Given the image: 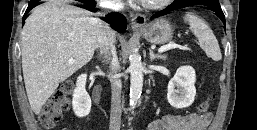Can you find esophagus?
Instances as JSON below:
<instances>
[{
  "label": "esophagus",
  "mask_w": 257,
  "mask_h": 130,
  "mask_svg": "<svg viewBox=\"0 0 257 130\" xmlns=\"http://www.w3.org/2000/svg\"><path fill=\"white\" fill-rule=\"evenodd\" d=\"M131 26L133 29L141 28L146 23V16L143 14H131Z\"/></svg>",
  "instance_id": "obj_1"
}]
</instances>
